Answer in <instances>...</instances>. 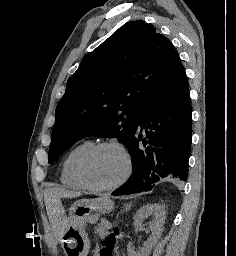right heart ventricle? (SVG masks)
<instances>
[{"instance_id":"e07e8e85","label":"right heart ventricle","mask_w":236,"mask_h":256,"mask_svg":"<svg viewBox=\"0 0 236 256\" xmlns=\"http://www.w3.org/2000/svg\"><path fill=\"white\" fill-rule=\"evenodd\" d=\"M93 145L92 141L84 140L74 146L63 158L60 169V180L64 186L78 190L85 189L78 176V164L81 157Z\"/></svg>"}]
</instances>
